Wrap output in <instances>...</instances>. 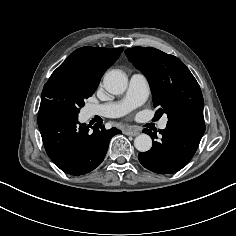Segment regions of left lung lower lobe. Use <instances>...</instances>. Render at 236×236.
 I'll return each instance as SVG.
<instances>
[{"label": "left lung lower lobe", "mask_w": 236, "mask_h": 236, "mask_svg": "<svg viewBox=\"0 0 236 236\" xmlns=\"http://www.w3.org/2000/svg\"><path fill=\"white\" fill-rule=\"evenodd\" d=\"M143 132L151 136L153 145L149 151L139 153L140 163L155 173H174L189 163L198 148L205 132L203 113L184 112L169 118L166 128L159 130V140L157 131Z\"/></svg>", "instance_id": "obj_1"}]
</instances>
